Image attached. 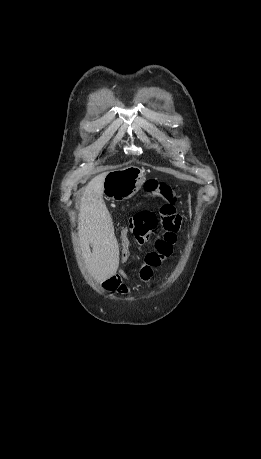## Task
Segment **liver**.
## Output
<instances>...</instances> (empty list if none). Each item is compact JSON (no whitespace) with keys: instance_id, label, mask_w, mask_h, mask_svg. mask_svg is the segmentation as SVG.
Segmentation results:
<instances>
[{"instance_id":"liver-1","label":"liver","mask_w":261,"mask_h":459,"mask_svg":"<svg viewBox=\"0 0 261 459\" xmlns=\"http://www.w3.org/2000/svg\"><path fill=\"white\" fill-rule=\"evenodd\" d=\"M108 173L97 175L87 184L79 208L80 247L87 268L100 283L116 274L119 267V246L102 197L104 181Z\"/></svg>"}]
</instances>
